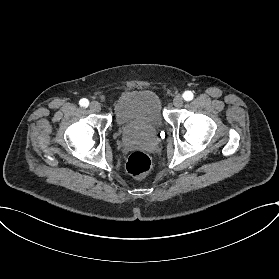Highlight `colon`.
Masks as SVG:
<instances>
[{
	"mask_svg": "<svg viewBox=\"0 0 279 279\" xmlns=\"http://www.w3.org/2000/svg\"><path fill=\"white\" fill-rule=\"evenodd\" d=\"M151 167L150 158L141 151L133 152L126 163V170L131 176H142L148 173Z\"/></svg>",
	"mask_w": 279,
	"mask_h": 279,
	"instance_id": "obj_1",
	"label": "colon"
}]
</instances>
